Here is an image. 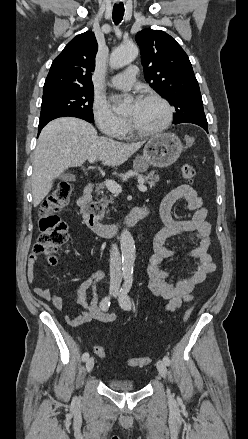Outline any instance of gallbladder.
Returning a JSON list of instances; mask_svg holds the SVG:
<instances>
[{
    "label": "gallbladder",
    "instance_id": "bac80fb5",
    "mask_svg": "<svg viewBox=\"0 0 248 439\" xmlns=\"http://www.w3.org/2000/svg\"><path fill=\"white\" fill-rule=\"evenodd\" d=\"M59 179H62V180H75V176L72 175V174H69V173H67V174H61V175L59 176Z\"/></svg>",
    "mask_w": 248,
    "mask_h": 439
}]
</instances>
